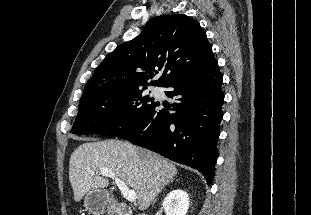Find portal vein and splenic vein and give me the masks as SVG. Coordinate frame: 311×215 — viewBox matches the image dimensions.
Wrapping results in <instances>:
<instances>
[{
    "instance_id": "18ae733b",
    "label": "portal vein and splenic vein",
    "mask_w": 311,
    "mask_h": 215,
    "mask_svg": "<svg viewBox=\"0 0 311 215\" xmlns=\"http://www.w3.org/2000/svg\"><path fill=\"white\" fill-rule=\"evenodd\" d=\"M100 173L102 176L110 177L112 178L116 185L118 186L119 190L121 191V194L124 196V198L129 202H135L137 199V194L134 190L129 189V187L126 185L124 181L117 178L110 170L108 169H102L100 170Z\"/></svg>"
}]
</instances>
